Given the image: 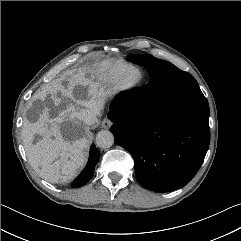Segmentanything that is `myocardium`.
Segmentation results:
<instances>
[{"instance_id":"myocardium-1","label":"myocardium","mask_w":241,"mask_h":241,"mask_svg":"<svg viewBox=\"0 0 241 241\" xmlns=\"http://www.w3.org/2000/svg\"><path fill=\"white\" fill-rule=\"evenodd\" d=\"M131 69H137L139 72V76L135 80H129L127 78V74ZM144 80V71L141 67L137 65L130 64L128 65L117 77L115 82V87L118 93L127 94L135 91Z\"/></svg>"}]
</instances>
